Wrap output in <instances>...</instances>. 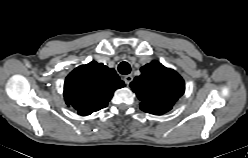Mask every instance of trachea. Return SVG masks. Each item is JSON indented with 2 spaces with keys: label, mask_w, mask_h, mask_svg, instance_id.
I'll return each mask as SVG.
<instances>
[{
  "label": "trachea",
  "mask_w": 248,
  "mask_h": 158,
  "mask_svg": "<svg viewBox=\"0 0 248 158\" xmlns=\"http://www.w3.org/2000/svg\"><path fill=\"white\" fill-rule=\"evenodd\" d=\"M118 70L121 74L127 75L131 71V67L127 62H121L118 66Z\"/></svg>",
  "instance_id": "obj_1"
}]
</instances>
